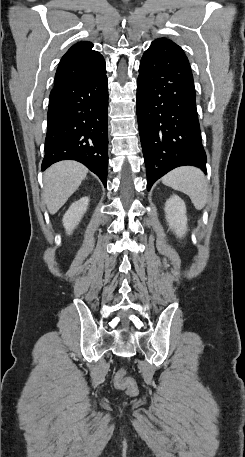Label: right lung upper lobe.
<instances>
[{
  "mask_svg": "<svg viewBox=\"0 0 245 457\" xmlns=\"http://www.w3.org/2000/svg\"><path fill=\"white\" fill-rule=\"evenodd\" d=\"M92 47L91 42L73 45L59 63L54 85L104 69V58L99 52L92 50Z\"/></svg>",
  "mask_w": 245,
  "mask_h": 457,
  "instance_id": "1",
  "label": "right lung upper lobe"
}]
</instances>
